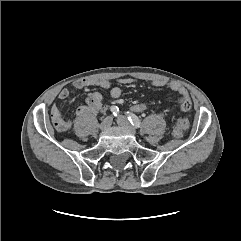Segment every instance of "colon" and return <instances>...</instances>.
<instances>
[{
    "mask_svg": "<svg viewBox=\"0 0 241 241\" xmlns=\"http://www.w3.org/2000/svg\"><path fill=\"white\" fill-rule=\"evenodd\" d=\"M147 105L145 103H135L131 106V110L135 113H143L147 110ZM55 126H58V123H55ZM190 126V121L188 118H182V119H179L177 124H176V127L173 131V134L175 137L177 138H180L183 136V133L186 129H188V127Z\"/></svg>",
    "mask_w": 241,
    "mask_h": 241,
    "instance_id": "colon-1",
    "label": "colon"
}]
</instances>
